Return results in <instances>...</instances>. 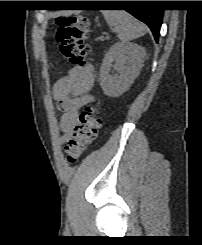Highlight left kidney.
<instances>
[{"label": "left kidney", "mask_w": 202, "mask_h": 245, "mask_svg": "<svg viewBox=\"0 0 202 245\" xmlns=\"http://www.w3.org/2000/svg\"><path fill=\"white\" fill-rule=\"evenodd\" d=\"M145 55V48L135 43L114 44L105 55L100 68L99 80L104 94L119 97L127 91L139 75ZM112 66L119 73L118 76L110 75Z\"/></svg>", "instance_id": "obj_1"}]
</instances>
